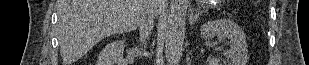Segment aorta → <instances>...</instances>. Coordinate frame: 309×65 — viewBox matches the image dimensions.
<instances>
[{
    "label": "aorta",
    "mask_w": 309,
    "mask_h": 65,
    "mask_svg": "<svg viewBox=\"0 0 309 65\" xmlns=\"http://www.w3.org/2000/svg\"><path fill=\"white\" fill-rule=\"evenodd\" d=\"M184 0H171L165 33V57L170 64L177 63L183 39Z\"/></svg>",
    "instance_id": "1"
}]
</instances>
